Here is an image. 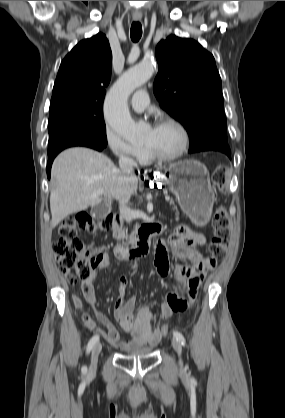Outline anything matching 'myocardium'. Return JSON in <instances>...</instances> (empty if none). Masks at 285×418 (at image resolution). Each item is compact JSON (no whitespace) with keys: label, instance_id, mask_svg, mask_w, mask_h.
<instances>
[{"label":"myocardium","instance_id":"1","mask_svg":"<svg viewBox=\"0 0 285 418\" xmlns=\"http://www.w3.org/2000/svg\"><path fill=\"white\" fill-rule=\"evenodd\" d=\"M163 125L174 126L180 132L181 137H182V142H181V146L179 150L172 155L165 156V155L158 154L149 146H146L145 149H146L147 156L150 159H154V160L161 161V162H170V161L181 158L186 153L188 146H189V133L187 129L185 128V126L174 118L167 117V118L161 119L157 127L163 126Z\"/></svg>","mask_w":285,"mask_h":418}]
</instances>
